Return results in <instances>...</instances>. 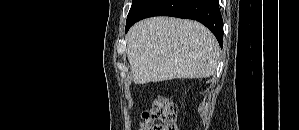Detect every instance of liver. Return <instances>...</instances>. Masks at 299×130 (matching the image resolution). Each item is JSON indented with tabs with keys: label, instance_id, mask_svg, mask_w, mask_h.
Here are the masks:
<instances>
[{
	"label": "liver",
	"instance_id": "6515ba94",
	"mask_svg": "<svg viewBox=\"0 0 299 130\" xmlns=\"http://www.w3.org/2000/svg\"><path fill=\"white\" fill-rule=\"evenodd\" d=\"M127 56L136 84L214 75L219 45L214 35L193 20L153 17L131 27Z\"/></svg>",
	"mask_w": 299,
	"mask_h": 130
}]
</instances>
